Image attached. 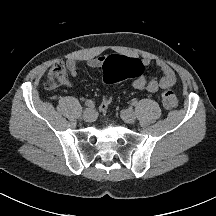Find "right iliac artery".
I'll use <instances>...</instances> for the list:
<instances>
[{"mask_svg":"<svg viewBox=\"0 0 216 216\" xmlns=\"http://www.w3.org/2000/svg\"><path fill=\"white\" fill-rule=\"evenodd\" d=\"M85 105H86L87 107L93 108V107H94V102H93L92 100H87V101L85 102Z\"/></svg>","mask_w":216,"mask_h":216,"instance_id":"obj_1","label":"right iliac artery"}]
</instances>
